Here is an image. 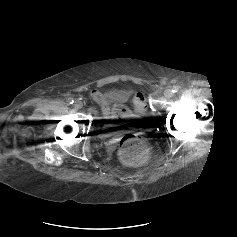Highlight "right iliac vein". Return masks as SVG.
<instances>
[{
    "label": "right iliac vein",
    "instance_id": "63e3f726",
    "mask_svg": "<svg viewBox=\"0 0 237 237\" xmlns=\"http://www.w3.org/2000/svg\"><path fill=\"white\" fill-rule=\"evenodd\" d=\"M74 107L76 109H81L83 107V103L81 100H76L75 103H74Z\"/></svg>",
    "mask_w": 237,
    "mask_h": 237
}]
</instances>
